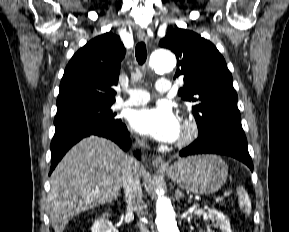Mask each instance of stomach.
Listing matches in <instances>:
<instances>
[{
	"mask_svg": "<svg viewBox=\"0 0 289 232\" xmlns=\"http://www.w3.org/2000/svg\"><path fill=\"white\" fill-rule=\"evenodd\" d=\"M162 172L188 192L212 194L226 182L228 166L216 155H202L180 159Z\"/></svg>",
	"mask_w": 289,
	"mask_h": 232,
	"instance_id": "1",
	"label": "stomach"
}]
</instances>
